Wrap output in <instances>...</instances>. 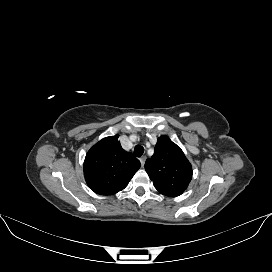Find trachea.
<instances>
[{"label": "trachea", "mask_w": 272, "mask_h": 272, "mask_svg": "<svg viewBox=\"0 0 272 272\" xmlns=\"http://www.w3.org/2000/svg\"><path fill=\"white\" fill-rule=\"evenodd\" d=\"M143 153H144L143 146H141V145L135 146V148H134V154H135V156L140 157V156L143 155Z\"/></svg>", "instance_id": "3493384b"}]
</instances>
